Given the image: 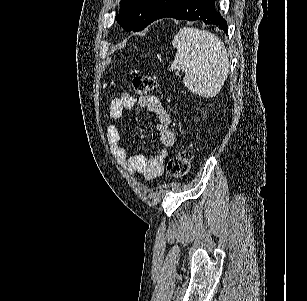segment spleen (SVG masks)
I'll return each instance as SVG.
<instances>
[{"label":"spleen","mask_w":307,"mask_h":301,"mask_svg":"<svg viewBox=\"0 0 307 301\" xmlns=\"http://www.w3.org/2000/svg\"><path fill=\"white\" fill-rule=\"evenodd\" d=\"M172 44L177 50L169 70H183V84L193 94L216 96L229 72L228 54L221 38L209 30L183 26Z\"/></svg>","instance_id":"spleen-1"}]
</instances>
